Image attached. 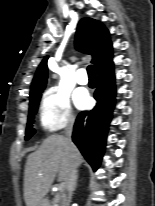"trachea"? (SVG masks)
I'll return each instance as SVG.
<instances>
[{"mask_svg": "<svg viewBox=\"0 0 155 206\" xmlns=\"http://www.w3.org/2000/svg\"><path fill=\"white\" fill-rule=\"evenodd\" d=\"M87 72L89 77H95V68L93 65L88 66Z\"/></svg>", "mask_w": 155, "mask_h": 206, "instance_id": "1", "label": "trachea"}]
</instances>
